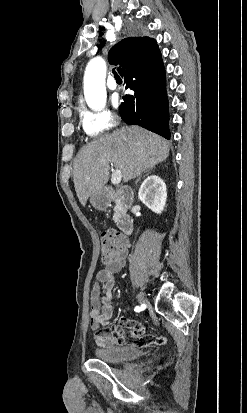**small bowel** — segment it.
Here are the masks:
<instances>
[{"mask_svg": "<svg viewBox=\"0 0 247 413\" xmlns=\"http://www.w3.org/2000/svg\"><path fill=\"white\" fill-rule=\"evenodd\" d=\"M128 244L125 248L114 253L106 262L104 267L98 271L90 297V327L95 331L94 343L102 348H111L125 343H133L135 349H151L164 347L162 335L147 334L142 322H135L133 329H128L126 334L113 336L118 329L105 328L113 315L111 290L114 285L113 277L120 272L126 264L128 257ZM134 320L123 319L124 325ZM140 338V340H136Z\"/></svg>", "mask_w": 247, "mask_h": 413, "instance_id": "small-bowel-1", "label": "small bowel"}]
</instances>
